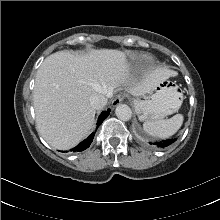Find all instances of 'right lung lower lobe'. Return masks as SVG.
I'll list each match as a JSON object with an SVG mask.
<instances>
[{
    "label": "right lung lower lobe",
    "mask_w": 220,
    "mask_h": 220,
    "mask_svg": "<svg viewBox=\"0 0 220 220\" xmlns=\"http://www.w3.org/2000/svg\"><path fill=\"white\" fill-rule=\"evenodd\" d=\"M109 112H110V109H108L107 111H103L101 113V115L99 116V119H98V126L109 115ZM94 134L95 133L93 132L87 139H85L83 142H81L78 146H76L75 148L71 149V151H75L76 152V151H83V150L87 149L90 146V144L92 143V141H93Z\"/></svg>",
    "instance_id": "1"
}]
</instances>
